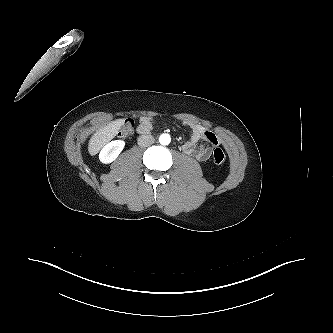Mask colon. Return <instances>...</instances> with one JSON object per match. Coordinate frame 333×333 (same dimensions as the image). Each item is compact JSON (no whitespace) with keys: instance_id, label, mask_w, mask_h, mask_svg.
Wrapping results in <instances>:
<instances>
[{"instance_id":"colon-1","label":"colon","mask_w":333,"mask_h":333,"mask_svg":"<svg viewBox=\"0 0 333 333\" xmlns=\"http://www.w3.org/2000/svg\"><path fill=\"white\" fill-rule=\"evenodd\" d=\"M133 131H134V120L130 119L124 123L118 135L121 137H128L133 133ZM225 158H226L225 154L221 148L217 147L214 149L212 155V160L214 164L222 165L225 162Z\"/></svg>"}]
</instances>
